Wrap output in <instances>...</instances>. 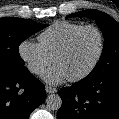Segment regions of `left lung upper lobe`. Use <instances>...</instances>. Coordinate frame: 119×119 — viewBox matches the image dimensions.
<instances>
[{
  "mask_svg": "<svg viewBox=\"0 0 119 119\" xmlns=\"http://www.w3.org/2000/svg\"><path fill=\"white\" fill-rule=\"evenodd\" d=\"M75 16L94 19L104 35L102 55L90 75H109L119 71V24L106 13L96 10H84L68 17Z\"/></svg>",
  "mask_w": 119,
  "mask_h": 119,
  "instance_id": "left-lung-upper-lobe-1",
  "label": "left lung upper lobe"
}]
</instances>
